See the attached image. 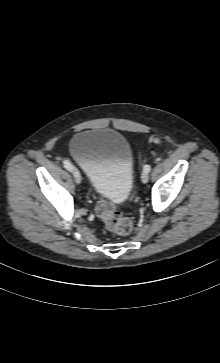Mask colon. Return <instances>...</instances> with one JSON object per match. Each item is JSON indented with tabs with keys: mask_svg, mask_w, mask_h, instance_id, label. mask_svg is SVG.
I'll list each match as a JSON object with an SVG mask.
<instances>
[{
	"mask_svg": "<svg viewBox=\"0 0 220 363\" xmlns=\"http://www.w3.org/2000/svg\"><path fill=\"white\" fill-rule=\"evenodd\" d=\"M154 142L157 139H153ZM97 215L104 221L106 227L113 232L125 235L133 228L132 220L118 212L111 203L100 199L95 207Z\"/></svg>",
	"mask_w": 220,
	"mask_h": 363,
	"instance_id": "1",
	"label": "colon"
}]
</instances>
